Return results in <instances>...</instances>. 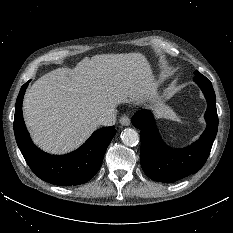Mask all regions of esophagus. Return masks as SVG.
Returning <instances> with one entry per match:
<instances>
[{"instance_id": "esophagus-1", "label": "esophagus", "mask_w": 233, "mask_h": 233, "mask_svg": "<svg viewBox=\"0 0 233 233\" xmlns=\"http://www.w3.org/2000/svg\"><path fill=\"white\" fill-rule=\"evenodd\" d=\"M120 124L123 126H129L130 125V118L127 115H124L120 119Z\"/></svg>"}]
</instances>
